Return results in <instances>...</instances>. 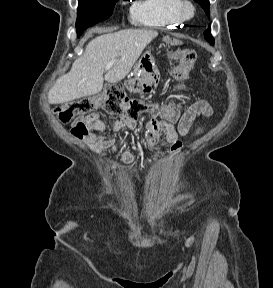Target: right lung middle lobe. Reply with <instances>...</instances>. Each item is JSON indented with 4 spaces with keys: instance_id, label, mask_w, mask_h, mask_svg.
Returning a JSON list of instances; mask_svg holds the SVG:
<instances>
[{
    "instance_id": "right-lung-middle-lobe-1",
    "label": "right lung middle lobe",
    "mask_w": 273,
    "mask_h": 288,
    "mask_svg": "<svg viewBox=\"0 0 273 288\" xmlns=\"http://www.w3.org/2000/svg\"><path fill=\"white\" fill-rule=\"evenodd\" d=\"M117 1L78 0V16L76 21L78 37L86 28L109 18Z\"/></svg>"
}]
</instances>
